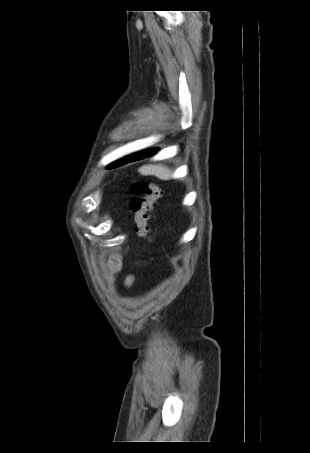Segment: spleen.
<instances>
[{
  "label": "spleen",
  "mask_w": 310,
  "mask_h": 453,
  "mask_svg": "<svg viewBox=\"0 0 310 453\" xmlns=\"http://www.w3.org/2000/svg\"><path fill=\"white\" fill-rule=\"evenodd\" d=\"M141 174L154 175L161 180H169L172 178L171 170L166 166L161 165H148L139 169Z\"/></svg>",
  "instance_id": "1"
}]
</instances>
